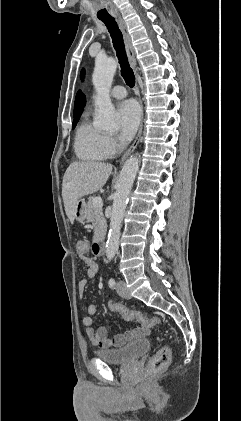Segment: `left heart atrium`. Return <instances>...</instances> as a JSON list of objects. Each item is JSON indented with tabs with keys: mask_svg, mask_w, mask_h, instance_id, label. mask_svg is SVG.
Returning a JSON list of instances; mask_svg holds the SVG:
<instances>
[{
	"mask_svg": "<svg viewBox=\"0 0 241 421\" xmlns=\"http://www.w3.org/2000/svg\"><path fill=\"white\" fill-rule=\"evenodd\" d=\"M140 109L132 100H126L118 105L116 116L120 137L123 141L130 140L135 134L140 122Z\"/></svg>",
	"mask_w": 241,
	"mask_h": 421,
	"instance_id": "39dd6f15",
	"label": "left heart atrium"
}]
</instances>
